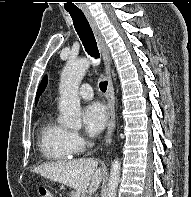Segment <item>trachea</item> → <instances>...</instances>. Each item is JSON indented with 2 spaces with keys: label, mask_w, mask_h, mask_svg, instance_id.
<instances>
[{
  "label": "trachea",
  "mask_w": 191,
  "mask_h": 197,
  "mask_svg": "<svg viewBox=\"0 0 191 197\" xmlns=\"http://www.w3.org/2000/svg\"><path fill=\"white\" fill-rule=\"evenodd\" d=\"M69 13L70 16L72 17L75 30L79 35V38L81 39L86 52L91 57L98 59L99 51L97 47V42L93 34V31L89 25L88 20L86 19L83 13H79V12H69ZM107 84L108 83L106 81L100 83V90L102 92L106 91Z\"/></svg>",
  "instance_id": "trachea-1"
}]
</instances>
